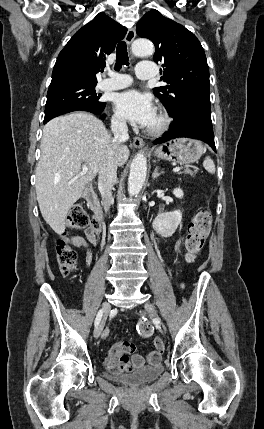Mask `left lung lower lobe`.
<instances>
[{"instance_id":"left-lung-lower-lobe-1","label":"left lung lower lobe","mask_w":264,"mask_h":429,"mask_svg":"<svg viewBox=\"0 0 264 429\" xmlns=\"http://www.w3.org/2000/svg\"><path fill=\"white\" fill-rule=\"evenodd\" d=\"M172 117L174 121L170 125L169 132L156 139L154 144L164 143L179 137H188L206 142L216 152L210 103L187 102L179 116Z\"/></svg>"}]
</instances>
